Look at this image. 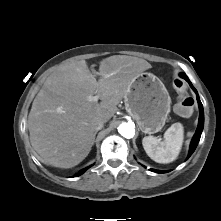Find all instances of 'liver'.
Segmentation results:
<instances>
[{
    "label": "liver",
    "mask_w": 221,
    "mask_h": 221,
    "mask_svg": "<svg viewBox=\"0 0 221 221\" xmlns=\"http://www.w3.org/2000/svg\"><path fill=\"white\" fill-rule=\"evenodd\" d=\"M152 66L146 60L113 55L100 62L99 80L85 60L50 75L28 116L30 142L43 163L72 168L89 154L94 120L109 121L132 81ZM98 95L101 102L90 98Z\"/></svg>",
    "instance_id": "obj_1"
}]
</instances>
